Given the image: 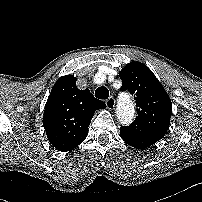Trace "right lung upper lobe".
I'll use <instances>...</instances> for the list:
<instances>
[{"label":"right lung upper lobe","mask_w":202,"mask_h":202,"mask_svg":"<svg viewBox=\"0 0 202 202\" xmlns=\"http://www.w3.org/2000/svg\"><path fill=\"white\" fill-rule=\"evenodd\" d=\"M105 107L89 89L76 87V77H60L52 87L44 110L43 125L48 140L61 152L74 149L88 135L95 111Z\"/></svg>","instance_id":"right-lung-upper-lobe-1"}]
</instances>
